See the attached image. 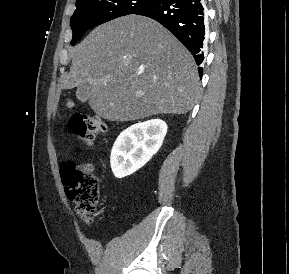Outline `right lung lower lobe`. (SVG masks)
<instances>
[{"mask_svg": "<svg viewBox=\"0 0 289 274\" xmlns=\"http://www.w3.org/2000/svg\"><path fill=\"white\" fill-rule=\"evenodd\" d=\"M135 14L150 17L170 30L192 53L197 65L204 60L203 0H157ZM202 76V68H198Z\"/></svg>", "mask_w": 289, "mask_h": 274, "instance_id": "98d812e1", "label": "right lung lower lobe"}]
</instances>
